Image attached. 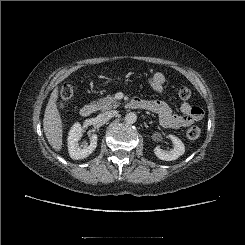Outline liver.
Instances as JSON below:
<instances>
[{"instance_id":"obj_1","label":"liver","mask_w":245,"mask_h":245,"mask_svg":"<svg viewBox=\"0 0 245 245\" xmlns=\"http://www.w3.org/2000/svg\"><path fill=\"white\" fill-rule=\"evenodd\" d=\"M58 93L59 89L56 87L50 95L43 119V129L46 138L52 148L56 151H60L62 149L63 137L62 119L56 104Z\"/></svg>"}]
</instances>
